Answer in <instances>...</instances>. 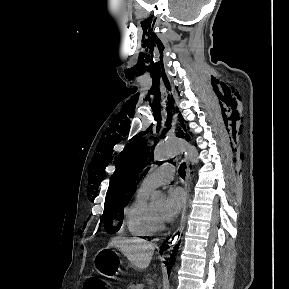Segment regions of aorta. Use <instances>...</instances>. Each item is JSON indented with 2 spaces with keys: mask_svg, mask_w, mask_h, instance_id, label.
Instances as JSON below:
<instances>
[{
  "mask_svg": "<svg viewBox=\"0 0 289 289\" xmlns=\"http://www.w3.org/2000/svg\"><path fill=\"white\" fill-rule=\"evenodd\" d=\"M181 154H185L193 164L198 163V152L193 145L179 137H168L155 147L154 161L164 162ZM163 198L164 194L161 191H156L151 196L153 202Z\"/></svg>",
  "mask_w": 289,
  "mask_h": 289,
  "instance_id": "762f6f07",
  "label": "aorta"
}]
</instances>
